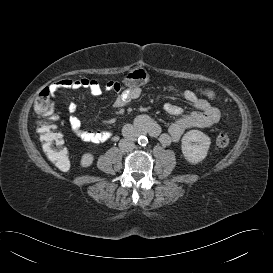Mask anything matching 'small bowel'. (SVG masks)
<instances>
[{
	"mask_svg": "<svg viewBox=\"0 0 273 273\" xmlns=\"http://www.w3.org/2000/svg\"><path fill=\"white\" fill-rule=\"evenodd\" d=\"M57 85L58 87L73 89L84 88L95 97L101 96L104 90L107 92L117 93L118 95L114 100V105L116 107H123L138 99L142 94V90L139 87L128 88L122 91V87L117 82L110 81L106 84L105 88H103L98 81L88 78L65 79L59 81ZM169 90L178 92L182 99L191 103L198 111L184 113L180 106L174 103H165L163 106L164 111L169 115L177 117L165 132H162L161 126L150 117L139 115L135 120L136 126L141 130L148 132L150 135L157 137L161 144L168 145L172 142L178 141L181 136L191 128H208L212 127L219 121V110L211 106L204 98L198 97L193 91H178L173 86L169 87ZM68 111L71 114L69 118L71 128L83 140L100 143L110 138V133L104 130L88 131L82 129L81 120L75 115L77 111L76 104L70 103Z\"/></svg>",
	"mask_w": 273,
	"mask_h": 273,
	"instance_id": "1",
	"label": "small bowel"
}]
</instances>
